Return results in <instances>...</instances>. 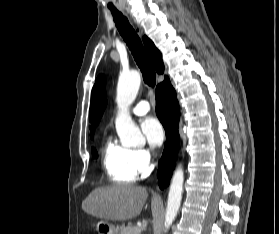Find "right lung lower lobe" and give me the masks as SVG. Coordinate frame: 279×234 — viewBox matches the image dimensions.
I'll return each mask as SVG.
<instances>
[{"mask_svg": "<svg viewBox=\"0 0 279 234\" xmlns=\"http://www.w3.org/2000/svg\"><path fill=\"white\" fill-rule=\"evenodd\" d=\"M156 114L165 128L167 137L165 150L157 172L160 188L163 189L169 184L179 147L178 124L180 111L175 90L168 78L156 88Z\"/></svg>", "mask_w": 279, "mask_h": 234, "instance_id": "obj_1", "label": "right lung lower lobe"}]
</instances>
